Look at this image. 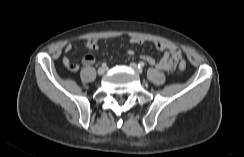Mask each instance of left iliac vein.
<instances>
[{
    "mask_svg": "<svg viewBox=\"0 0 244 157\" xmlns=\"http://www.w3.org/2000/svg\"><path fill=\"white\" fill-rule=\"evenodd\" d=\"M130 67L135 71V72H137L138 74H141L142 73V69L141 68H139L138 66H137V64L136 63H130Z\"/></svg>",
    "mask_w": 244,
    "mask_h": 157,
    "instance_id": "4c4485c4",
    "label": "left iliac vein"
}]
</instances>
